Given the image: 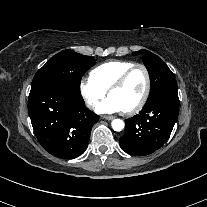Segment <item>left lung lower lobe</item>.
<instances>
[{"instance_id":"0a47b994","label":"left lung lower lobe","mask_w":207,"mask_h":207,"mask_svg":"<svg viewBox=\"0 0 207 207\" xmlns=\"http://www.w3.org/2000/svg\"><path fill=\"white\" fill-rule=\"evenodd\" d=\"M177 90H168L148 100L136 116L126 120L119 143L131 155H148L158 150L169 138L178 117Z\"/></svg>"}]
</instances>
